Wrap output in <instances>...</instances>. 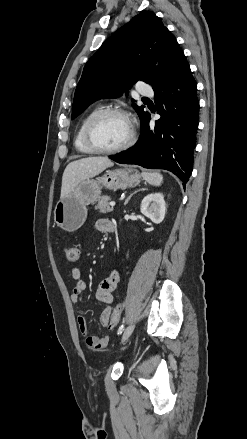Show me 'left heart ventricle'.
Returning a JSON list of instances; mask_svg holds the SVG:
<instances>
[{
  "label": "left heart ventricle",
  "mask_w": 247,
  "mask_h": 439,
  "mask_svg": "<svg viewBox=\"0 0 247 439\" xmlns=\"http://www.w3.org/2000/svg\"><path fill=\"white\" fill-rule=\"evenodd\" d=\"M130 135L128 121L120 116H108L95 127L94 139L103 148H115L122 145Z\"/></svg>",
  "instance_id": "obj_1"
}]
</instances>
